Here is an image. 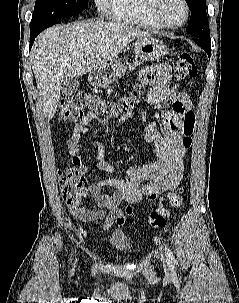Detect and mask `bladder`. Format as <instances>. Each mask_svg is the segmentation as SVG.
I'll return each instance as SVG.
<instances>
[{
  "label": "bladder",
  "mask_w": 239,
  "mask_h": 303,
  "mask_svg": "<svg viewBox=\"0 0 239 303\" xmlns=\"http://www.w3.org/2000/svg\"><path fill=\"white\" fill-rule=\"evenodd\" d=\"M108 245L113 251L118 252V253H124L130 248L131 243H130L128 236L125 234H122V235L110 238L108 241Z\"/></svg>",
  "instance_id": "31cf9c89"
}]
</instances>
